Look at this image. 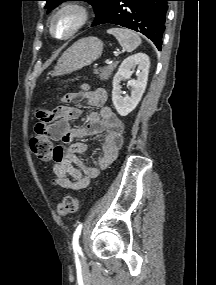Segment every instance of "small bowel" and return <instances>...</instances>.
I'll return each instance as SVG.
<instances>
[{
    "label": "small bowel",
    "mask_w": 216,
    "mask_h": 285,
    "mask_svg": "<svg viewBox=\"0 0 216 285\" xmlns=\"http://www.w3.org/2000/svg\"><path fill=\"white\" fill-rule=\"evenodd\" d=\"M68 99L87 102L98 110L89 113L87 124L81 128L72 126L80 116V110L76 107L64 106L54 112L39 111L40 122L35 133L62 142L55 148L54 183L65 189L80 190L86 188L101 169L107 168L116 159L123 143V123L106 105L107 93L103 88L90 90L82 87L71 93ZM94 135H102L101 156L97 165H87L78 155L85 153L88 145L73 142V139Z\"/></svg>",
    "instance_id": "obj_1"
}]
</instances>
